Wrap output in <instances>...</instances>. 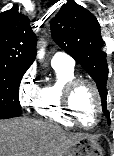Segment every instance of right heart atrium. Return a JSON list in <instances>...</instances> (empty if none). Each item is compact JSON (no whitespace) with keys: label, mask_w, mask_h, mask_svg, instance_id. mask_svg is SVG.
I'll use <instances>...</instances> for the list:
<instances>
[{"label":"right heart atrium","mask_w":114,"mask_h":156,"mask_svg":"<svg viewBox=\"0 0 114 156\" xmlns=\"http://www.w3.org/2000/svg\"><path fill=\"white\" fill-rule=\"evenodd\" d=\"M39 93V86L34 68H29L22 75L18 85V98L21 106L29 107L34 104Z\"/></svg>","instance_id":"right-heart-atrium-1"}]
</instances>
